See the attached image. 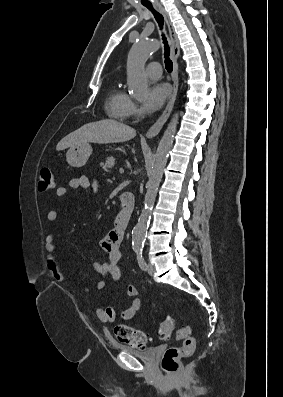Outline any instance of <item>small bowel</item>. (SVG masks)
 I'll use <instances>...</instances> for the list:
<instances>
[{
	"label": "small bowel",
	"mask_w": 283,
	"mask_h": 397,
	"mask_svg": "<svg viewBox=\"0 0 283 397\" xmlns=\"http://www.w3.org/2000/svg\"><path fill=\"white\" fill-rule=\"evenodd\" d=\"M90 186V181L86 176H79L73 178L69 181L68 187H58L56 189V195L58 197H65L69 190L86 189ZM97 183L93 184V188L97 189ZM58 219V212L56 210H50L47 213V220L49 222H55ZM123 238V232H119L116 228L109 231L106 236L101 240V247L106 252L108 260L106 262H94V270L104 277H109L112 282H117L121 276L120 261H121V251L120 244ZM44 250L46 252V267L51 276L57 282H66L70 280L60 268V265L54 255L55 251V240L53 234H48L44 240ZM80 286L85 290L89 291L90 288L95 290H102L106 282L100 280L96 283L89 282H79ZM138 288L130 284L126 287L125 295L130 298L128 306L121 312V318L125 321L131 320L135 314L140 310L142 305V300L138 296ZM96 315L98 319L103 323H112L117 318L116 310L110 305H101L96 310Z\"/></svg>",
	"instance_id": "small-bowel-1"
}]
</instances>
